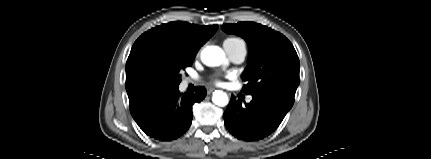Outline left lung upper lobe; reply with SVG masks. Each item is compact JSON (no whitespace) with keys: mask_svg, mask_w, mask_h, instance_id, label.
<instances>
[{"mask_svg":"<svg viewBox=\"0 0 431 159\" xmlns=\"http://www.w3.org/2000/svg\"><path fill=\"white\" fill-rule=\"evenodd\" d=\"M222 29L241 36L249 46L248 66L242 74L247 84L242 92L272 94L293 103L300 82V63L290 41L281 33L254 22L224 24Z\"/></svg>","mask_w":431,"mask_h":159,"instance_id":"left-lung-upper-lobe-1","label":"left lung upper lobe"}]
</instances>
